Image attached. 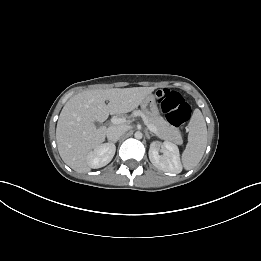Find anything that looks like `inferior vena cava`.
<instances>
[{
    "instance_id": "inferior-vena-cava-1",
    "label": "inferior vena cava",
    "mask_w": 261,
    "mask_h": 261,
    "mask_svg": "<svg viewBox=\"0 0 261 261\" xmlns=\"http://www.w3.org/2000/svg\"><path fill=\"white\" fill-rule=\"evenodd\" d=\"M127 131V127L124 125H114L110 126L107 131L106 135L109 141L116 142L120 139L122 135L125 134Z\"/></svg>"
}]
</instances>
